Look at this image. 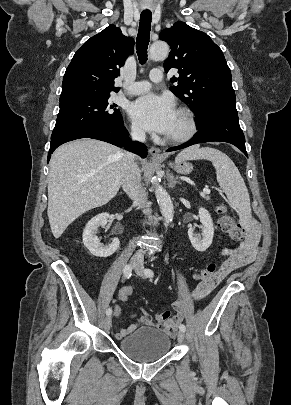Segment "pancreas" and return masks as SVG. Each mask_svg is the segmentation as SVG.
Returning a JSON list of instances; mask_svg holds the SVG:
<instances>
[{
	"instance_id": "obj_1",
	"label": "pancreas",
	"mask_w": 291,
	"mask_h": 405,
	"mask_svg": "<svg viewBox=\"0 0 291 405\" xmlns=\"http://www.w3.org/2000/svg\"><path fill=\"white\" fill-rule=\"evenodd\" d=\"M202 198H204V199L207 200V201H210V197H209V196L203 195Z\"/></svg>"
}]
</instances>
